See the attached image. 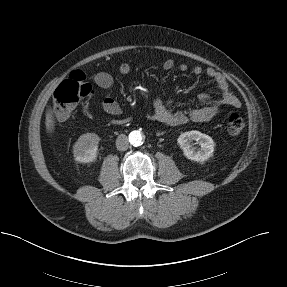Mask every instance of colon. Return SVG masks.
Wrapping results in <instances>:
<instances>
[{
  "mask_svg": "<svg viewBox=\"0 0 287 287\" xmlns=\"http://www.w3.org/2000/svg\"><path fill=\"white\" fill-rule=\"evenodd\" d=\"M93 93V88L81 71L73 72L55 90L52 103L58 120L68 119L76 105ZM245 127V119L239 113H230L226 118V130L230 135H238Z\"/></svg>",
  "mask_w": 287,
  "mask_h": 287,
  "instance_id": "obj_1",
  "label": "colon"
}]
</instances>
